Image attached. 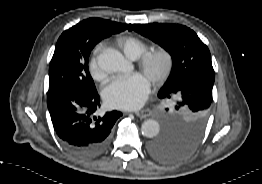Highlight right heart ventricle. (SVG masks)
I'll return each instance as SVG.
<instances>
[{
  "instance_id": "1",
  "label": "right heart ventricle",
  "mask_w": 262,
  "mask_h": 184,
  "mask_svg": "<svg viewBox=\"0 0 262 184\" xmlns=\"http://www.w3.org/2000/svg\"><path fill=\"white\" fill-rule=\"evenodd\" d=\"M121 47L124 53L131 58L139 57L147 49V45L145 43L134 37L125 38L121 42Z\"/></svg>"
}]
</instances>
